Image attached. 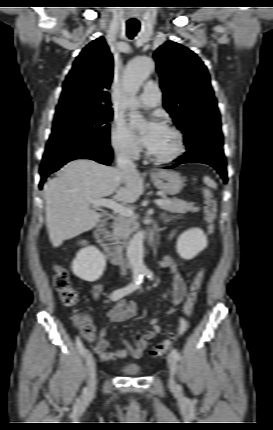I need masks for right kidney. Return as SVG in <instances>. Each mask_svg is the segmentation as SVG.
Here are the masks:
<instances>
[{
	"instance_id": "1",
	"label": "right kidney",
	"mask_w": 273,
	"mask_h": 430,
	"mask_svg": "<svg viewBox=\"0 0 273 430\" xmlns=\"http://www.w3.org/2000/svg\"><path fill=\"white\" fill-rule=\"evenodd\" d=\"M106 267L104 255L95 246L81 249L72 262V272L86 282H95Z\"/></svg>"
}]
</instances>
